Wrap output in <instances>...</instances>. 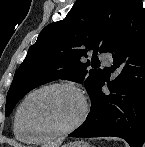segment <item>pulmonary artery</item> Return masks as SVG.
Instances as JSON below:
<instances>
[{
	"mask_svg": "<svg viewBox=\"0 0 145 147\" xmlns=\"http://www.w3.org/2000/svg\"><path fill=\"white\" fill-rule=\"evenodd\" d=\"M99 57H100L101 61H102L104 64H106V65H109V64L111 63V61H112V57H111V55L108 54V53H101V54L99 55Z\"/></svg>",
	"mask_w": 145,
	"mask_h": 147,
	"instance_id": "e3ab8cb5",
	"label": "pulmonary artery"
}]
</instances>
